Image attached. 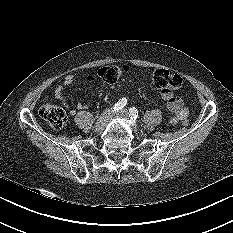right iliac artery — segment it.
<instances>
[{
  "label": "right iliac artery",
  "instance_id": "82829eb1",
  "mask_svg": "<svg viewBox=\"0 0 233 233\" xmlns=\"http://www.w3.org/2000/svg\"><path fill=\"white\" fill-rule=\"evenodd\" d=\"M127 104V99L126 98H121L118 100V102L113 106L112 111H119L125 107Z\"/></svg>",
  "mask_w": 233,
  "mask_h": 233
}]
</instances>
